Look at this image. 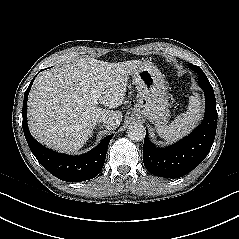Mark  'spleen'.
<instances>
[{"instance_id":"1","label":"spleen","mask_w":239,"mask_h":239,"mask_svg":"<svg viewBox=\"0 0 239 239\" xmlns=\"http://www.w3.org/2000/svg\"><path fill=\"white\" fill-rule=\"evenodd\" d=\"M202 119L201 100L198 95L189 98L188 110L178 115L169 125L156 127L158 135L167 142H176L189 134Z\"/></svg>"}]
</instances>
